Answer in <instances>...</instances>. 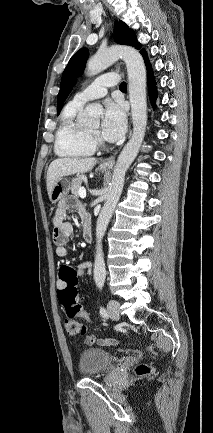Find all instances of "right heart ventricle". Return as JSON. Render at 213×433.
Returning <instances> with one entry per match:
<instances>
[{"instance_id": "obj_1", "label": "right heart ventricle", "mask_w": 213, "mask_h": 433, "mask_svg": "<svg viewBox=\"0 0 213 433\" xmlns=\"http://www.w3.org/2000/svg\"><path fill=\"white\" fill-rule=\"evenodd\" d=\"M82 106L70 102L64 108L56 132L55 151L62 157H85L95 152L87 130L80 126L76 117Z\"/></svg>"}]
</instances>
